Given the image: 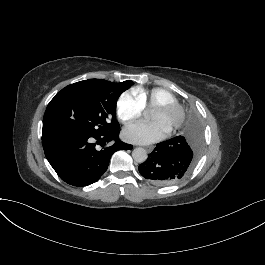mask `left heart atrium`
Instances as JSON below:
<instances>
[{"mask_svg": "<svg viewBox=\"0 0 265 265\" xmlns=\"http://www.w3.org/2000/svg\"><path fill=\"white\" fill-rule=\"evenodd\" d=\"M168 129L160 122L135 123L127 126L122 133L125 141L135 144H150L168 136Z\"/></svg>", "mask_w": 265, "mask_h": 265, "instance_id": "39dd6f15", "label": "left heart atrium"}]
</instances>
